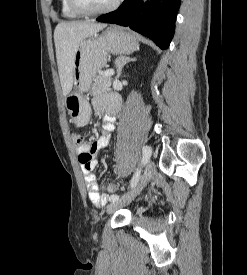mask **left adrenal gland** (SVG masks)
Returning a JSON list of instances; mask_svg holds the SVG:
<instances>
[{"instance_id": "left-adrenal-gland-1", "label": "left adrenal gland", "mask_w": 247, "mask_h": 275, "mask_svg": "<svg viewBox=\"0 0 247 275\" xmlns=\"http://www.w3.org/2000/svg\"><path fill=\"white\" fill-rule=\"evenodd\" d=\"M132 61H136V58H130V57H126V56H121L119 58H117L115 60V67L117 69V76L116 78H119L122 74V70L124 68V66Z\"/></svg>"}]
</instances>
